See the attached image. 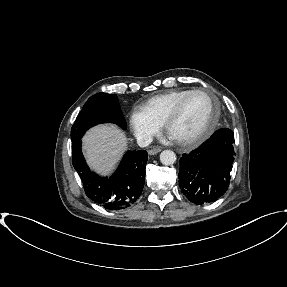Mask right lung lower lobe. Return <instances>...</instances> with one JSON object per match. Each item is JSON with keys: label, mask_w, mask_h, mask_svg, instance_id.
<instances>
[{"label": "right lung lower lobe", "mask_w": 287, "mask_h": 287, "mask_svg": "<svg viewBox=\"0 0 287 287\" xmlns=\"http://www.w3.org/2000/svg\"><path fill=\"white\" fill-rule=\"evenodd\" d=\"M72 163L87 196L107 210L127 208L141 195L147 163L145 150L127 151L111 177H100L87 166L79 140L72 145Z\"/></svg>", "instance_id": "1"}]
</instances>
